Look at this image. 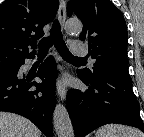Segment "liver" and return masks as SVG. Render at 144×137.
I'll return each instance as SVG.
<instances>
[{"mask_svg":"<svg viewBox=\"0 0 144 137\" xmlns=\"http://www.w3.org/2000/svg\"><path fill=\"white\" fill-rule=\"evenodd\" d=\"M0 137H41V131L22 116L0 112Z\"/></svg>","mask_w":144,"mask_h":137,"instance_id":"liver-1","label":"liver"}]
</instances>
